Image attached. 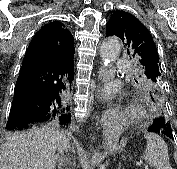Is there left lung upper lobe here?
<instances>
[{
	"label": "left lung upper lobe",
	"instance_id": "5c2ea615",
	"mask_svg": "<svg viewBox=\"0 0 177 169\" xmlns=\"http://www.w3.org/2000/svg\"><path fill=\"white\" fill-rule=\"evenodd\" d=\"M112 35L118 36L126 45L127 53L137 59L145 85L162 101L160 86L163 73L156 45L148 29L130 13L116 11L107 23L106 36Z\"/></svg>",
	"mask_w": 177,
	"mask_h": 169
}]
</instances>
